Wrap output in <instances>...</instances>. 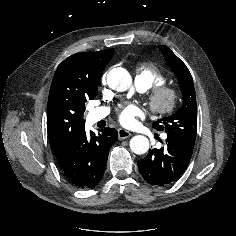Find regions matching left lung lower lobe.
<instances>
[{"instance_id":"0a47b994","label":"left lung lower lobe","mask_w":236,"mask_h":236,"mask_svg":"<svg viewBox=\"0 0 236 236\" xmlns=\"http://www.w3.org/2000/svg\"><path fill=\"white\" fill-rule=\"evenodd\" d=\"M192 152L193 149L167 138L164 147L152 149L144 159L138 161V168L148 183L164 186L181 177Z\"/></svg>"}]
</instances>
